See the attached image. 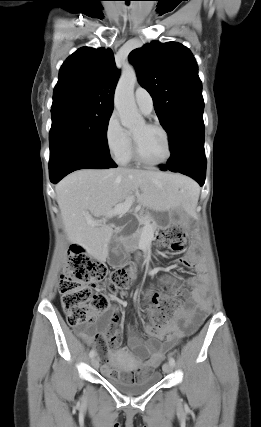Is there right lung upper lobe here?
<instances>
[{"mask_svg": "<svg viewBox=\"0 0 261 427\" xmlns=\"http://www.w3.org/2000/svg\"><path fill=\"white\" fill-rule=\"evenodd\" d=\"M118 78L110 49L82 47L62 64L51 109L73 105L113 109Z\"/></svg>", "mask_w": 261, "mask_h": 427, "instance_id": "right-lung-upper-lobe-1", "label": "right lung upper lobe"}]
</instances>
